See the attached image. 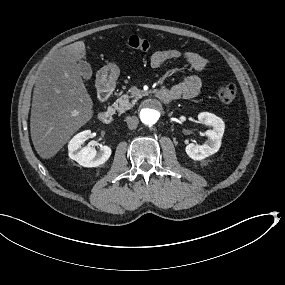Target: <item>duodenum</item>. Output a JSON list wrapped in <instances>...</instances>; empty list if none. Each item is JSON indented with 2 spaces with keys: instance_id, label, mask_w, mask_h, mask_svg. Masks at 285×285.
Returning a JSON list of instances; mask_svg holds the SVG:
<instances>
[{
  "instance_id": "duodenum-1",
  "label": "duodenum",
  "mask_w": 285,
  "mask_h": 285,
  "mask_svg": "<svg viewBox=\"0 0 285 285\" xmlns=\"http://www.w3.org/2000/svg\"><path fill=\"white\" fill-rule=\"evenodd\" d=\"M112 88V84L109 81H101L99 83L98 96L101 102L107 101L111 94ZM156 94L163 102H169L174 99V95L169 89H159ZM113 113L114 112L111 107H106L99 112L98 118L101 122L108 124L112 121Z\"/></svg>"
}]
</instances>
